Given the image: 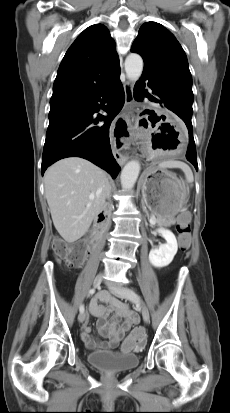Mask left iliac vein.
<instances>
[{
    "label": "left iliac vein",
    "instance_id": "left-iliac-vein-1",
    "mask_svg": "<svg viewBox=\"0 0 230 413\" xmlns=\"http://www.w3.org/2000/svg\"><path fill=\"white\" fill-rule=\"evenodd\" d=\"M109 291L119 297V298H124V299H128L136 304L139 305L140 310H141V314L143 317V320L148 323L149 319H150V315H149V310L146 306V304L144 303V301L140 298V296H138L135 292L121 287V286H109Z\"/></svg>",
    "mask_w": 230,
    "mask_h": 413
}]
</instances>
